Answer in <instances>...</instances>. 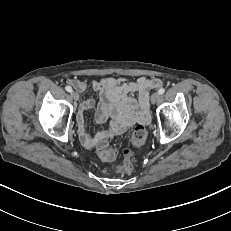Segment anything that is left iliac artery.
Wrapping results in <instances>:
<instances>
[{
    "label": "left iliac artery",
    "mask_w": 231,
    "mask_h": 231,
    "mask_svg": "<svg viewBox=\"0 0 231 231\" xmlns=\"http://www.w3.org/2000/svg\"><path fill=\"white\" fill-rule=\"evenodd\" d=\"M164 92H165V89H164V88H161V89H159V91H158V93H159L160 95L164 94Z\"/></svg>",
    "instance_id": "left-iliac-artery-1"
}]
</instances>
